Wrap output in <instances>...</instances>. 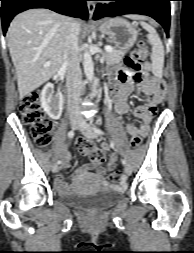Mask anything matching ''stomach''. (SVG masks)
<instances>
[{
	"label": "stomach",
	"instance_id": "1",
	"mask_svg": "<svg viewBox=\"0 0 194 253\" xmlns=\"http://www.w3.org/2000/svg\"><path fill=\"white\" fill-rule=\"evenodd\" d=\"M99 30L103 35L108 36L121 51L129 50L137 39V31L134 26L121 18L103 21Z\"/></svg>",
	"mask_w": 194,
	"mask_h": 253
}]
</instances>
